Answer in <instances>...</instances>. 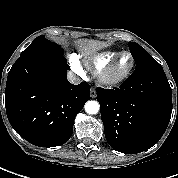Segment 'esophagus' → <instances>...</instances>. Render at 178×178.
<instances>
[{"label":"esophagus","instance_id":"34e87169","mask_svg":"<svg viewBox=\"0 0 178 178\" xmlns=\"http://www.w3.org/2000/svg\"><path fill=\"white\" fill-rule=\"evenodd\" d=\"M90 96H91V98H96L97 92H96V90L94 88H91V90H90Z\"/></svg>","mask_w":178,"mask_h":178}]
</instances>
